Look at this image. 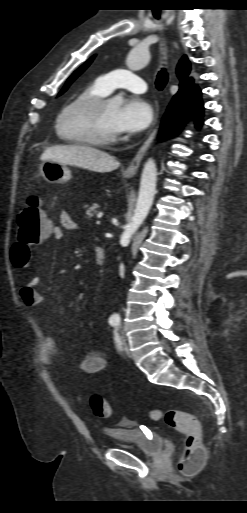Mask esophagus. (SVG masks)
<instances>
[{"label":"esophagus","instance_id":"esophagus-1","mask_svg":"<svg viewBox=\"0 0 247 513\" xmlns=\"http://www.w3.org/2000/svg\"><path fill=\"white\" fill-rule=\"evenodd\" d=\"M157 118H158V115L156 114L155 115L154 123L152 125V128L153 127L154 128L152 129V131L150 132L148 138L145 140V142L139 148L137 154L134 156V158L130 162L129 166L125 170V174L126 175L133 176V175H135L137 173L139 165L141 163V160L144 157L146 151L148 150L150 144L152 143V141H153V139H154V137H155V135L157 133V129H158Z\"/></svg>","mask_w":247,"mask_h":513}]
</instances>
